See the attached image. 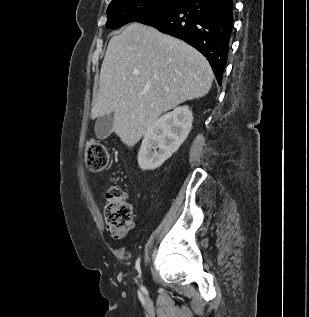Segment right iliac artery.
I'll return each instance as SVG.
<instances>
[{
  "label": "right iliac artery",
  "instance_id": "82829eb1",
  "mask_svg": "<svg viewBox=\"0 0 309 317\" xmlns=\"http://www.w3.org/2000/svg\"><path fill=\"white\" fill-rule=\"evenodd\" d=\"M135 268H136V270H137L138 273H139V277H141L140 258L137 259Z\"/></svg>",
  "mask_w": 309,
  "mask_h": 317
}]
</instances>
